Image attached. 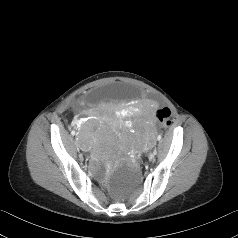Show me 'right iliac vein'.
Segmentation results:
<instances>
[{
  "instance_id": "1",
  "label": "right iliac vein",
  "mask_w": 238,
  "mask_h": 238,
  "mask_svg": "<svg viewBox=\"0 0 238 238\" xmlns=\"http://www.w3.org/2000/svg\"><path fill=\"white\" fill-rule=\"evenodd\" d=\"M76 151H77V153H80L79 147H76Z\"/></svg>"
}]
</instances>
